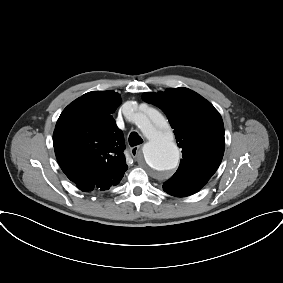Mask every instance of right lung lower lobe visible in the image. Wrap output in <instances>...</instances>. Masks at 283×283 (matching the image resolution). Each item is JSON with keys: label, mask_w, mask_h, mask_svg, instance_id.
<instances>
[{"label": "right lung lower lobe", "mask_w": 283, "mask_h": 283, "mask_svg": "<svg viewBox=\"0 0 283 283\" xmlns=\"http://www.w3.org/2000/svg\"><path fill=\"white\" fill-rule=\"evenodd\" d=\"M61 168L64 169H69V166L67 164H60ZM65 173V172H64Z\"/></svg>", "instance_id": "obj_1"}]
</instances>
